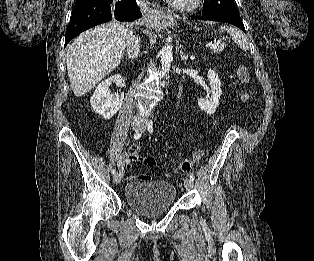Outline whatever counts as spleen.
<instances>
[{
  "label": "spleen",
  "instance_id": "spleen-1",
  "mask_svg": "<svg viewBox=\"0 0 314 261\" xmlns=\"http://www.w3.org/2000/svg\"><path fill=\"white\" fill-rule=\"evenodd\" d=\"M221 29L227 31L232 40L244 51H246L248 49V42L245 38V36L243 35V33L233 27H229V26H222Z\"/></svg>",
  "mask_w": 314,
  "mask_h": 261
}]
</instances>
